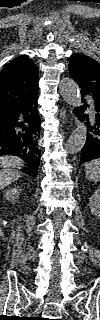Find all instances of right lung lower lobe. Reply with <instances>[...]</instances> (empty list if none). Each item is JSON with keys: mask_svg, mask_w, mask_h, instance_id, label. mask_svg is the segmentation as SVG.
I'll use <instances>...</instances> for the list:
<instances>
[{"mask_svg": "<svg viewBox=\"0 0 100 320\" xmlns=\"http://www.w3.org/2000/svg\"><path fill=\"white\" fill-rule=\"evenodd\" d=\"M38 91L24 100L0 108V155H15L27 164L22 171L38 174L40 118L37 109Z\"/></svg>", "mask_w": 100, "mask_h": 320, "instance_id": "right-lung-lower-lobe-1", "label": "right lung lower lobe"}]
</instances>
